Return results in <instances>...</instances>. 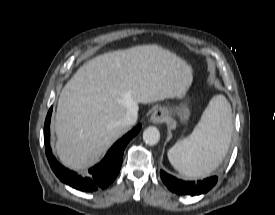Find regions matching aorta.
Listing matches in <instances>:
<instances>
[{"label": "aorta", "instance_id": "aorta-1", "mask_svg": "<svg viewBox=\"0 0 275 215\" xmlns=\"http://www.w3.org/2000/svg\"><path fill=\"white\" fill-rule=\"evenodd\" d=\"M143 140L146 144L151 146L157 144L160 140L159 130L154 126L146 128L143 132Z\"/></svg>", "mask_w": 275, "mask_h": 215}]
</instances>
